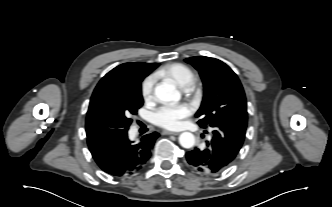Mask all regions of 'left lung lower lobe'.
Here are the masks:
<instances>
[{"instance_id":"obj_1","label":"left lung lower lobe","mask_w":332,"mask_h":207,"mask_svg":"<svg viewBox=\"0 0 332 207\" xmlns=\"http://www.w3.org/2000/svg\"><path fill=\"white\" fill-rule=\"evenodd\" d=\"M212 138L204 148H195L186 154L191 167L206 175L225 170L235 159L242 147L246 128L241 126H214Z\"/></svg>"}]
</instances>
